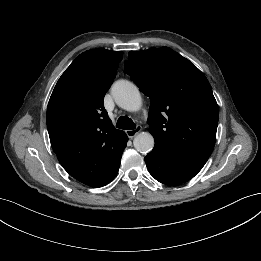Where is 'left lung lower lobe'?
I'll list each match as a JSON object with an SVG mask.
<instances>
[{"label": "left lung lower lobe", "mask_w": 261, "mask_h": 261, "mask_svg": "<svg viewBox=\"0 0 261 261\" xmlns=\"http://www.w3.org/2000/svg\"><path fill=\"white\" fill-rule=\"evenodd\" d=\"M144 160L150 174L157 181L167 185H178L193 178L208 158L177 156L154 147Z\"/></svg>", "instance_id": "0a47b994"}]
</instances>
